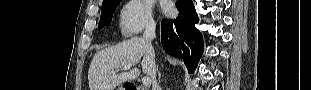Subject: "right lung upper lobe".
Wrapping results in <instances>:
<instances>
[{"label":"right lung upper lobe","instance_id":"obj_1","mask_svg":"<svg viewBox=\"0 0 311 90\" xmlns=\"http://www.w3.org/2000/svg\"><path fill=\"white\" fill-rule=\"evenodd\" d=\"M109 1H111V0H103V3H102V4L107 3V2H109Z\"/></svg>","mask_w":311,"mask_h":90}]
</instances>
